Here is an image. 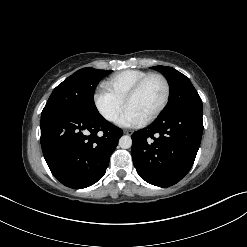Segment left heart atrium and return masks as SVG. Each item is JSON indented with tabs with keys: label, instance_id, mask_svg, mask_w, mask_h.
<instances>
[{
	"label": "left heart atrium",
	"instance_id": "1",
	"mask_svg": "<svg viewBox=\"0 0 247 247\" xmlns=\"http://www.w3.org/2000/svg\"><path fill=\"white\" fill-rule=\"evenodd\" d=\"M145 122V118L133 108L126 106L123 114L120 116L118 123L122 126L134 127L140 126Z\"/></svg>",
	"mask_w": 247,
	"mask_h": 247
}]
</instances>
